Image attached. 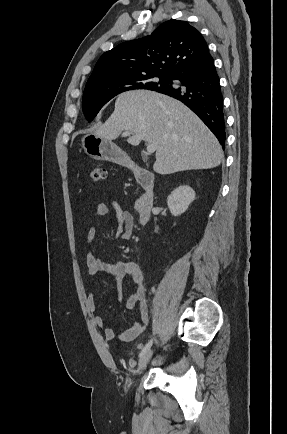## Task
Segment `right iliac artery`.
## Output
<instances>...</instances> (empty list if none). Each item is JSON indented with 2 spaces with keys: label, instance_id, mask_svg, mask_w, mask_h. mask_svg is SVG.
<instances>
[{
  "label": "right iliac artery",
  "instance_id": "82829eb1",
  "mask_svg": "<svg viewBox=\"0 0 287 434\" xmlns=\"http://www.w3.org/2000/svg\"><path fill=\"white\" fill-rule=\"evenodd\" d=\"M153 341H154V339H151L145 346H144V348L142 349V351H141V353H140V356H142L147 350H149L150 349V347L152 346V344H153Z\"/></svg>",
  "mask_w": 287,
  "mask_h": 434
}]
</instances>
